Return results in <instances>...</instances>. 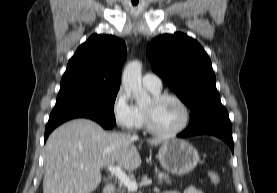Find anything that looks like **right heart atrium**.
<instances>
[{"mask_svg":"<svg viewBox=\"0 0 277 193\" xmlns=\"http://www.w3.org/2000/svg\"><path fill=\"white\" fill-rule=\"evenodd\" d=\"M112 114L115 122L127 130H135L141 126V117L138 109L130 104L126 93L119 89L112 101Z\"/></svg>","mask_w":277,"mask_h":193,"instance_id":"1","label":"right heart atrium"}]
</instances>
